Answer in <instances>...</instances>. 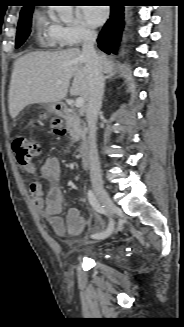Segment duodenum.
Returning a JSON list of instances; mask_svg holds the SVG:
<instances>
[{
	"mask_svg": "<svg viewBox=\"0 0 184 327\" xmlns=\"http://www.w3.org/2000/svg\"><path fill=\"white\" fill-rule=\"evenodd\" d=\"M56 112L61 117H69L71 115V110L65 104H58L56 106ZM78 150L82 157L84 165L87 166L89 164V145L86 138L82 140Z\"/></svg>",
	"mask_w": 184,
	"mask_h": 327,
	"instance_id": "1",
	"label": "duodenum"
}]
</instances>
